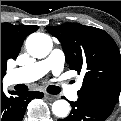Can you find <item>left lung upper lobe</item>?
Returning a JSON list of instances; mask_svg holds the SVG:
<instances>
[{
	"label": "left lung upper lobe",
	"mask_w": 121,
	"mask_h": 121,
	"mask_svg": "<svg viewBox=\"0 0 121 121\" xmlns=\"http://www.w3.org/2000/svg\"><path fill=\"white\" fill-rule=\"evenodd\" d=\"M46 28L62 43L70 68L85 72L79 99L110 115L121 90V55L114 40L101 29L77 23Z\"/></svg>",
	"instance_id": "left-lung-upper-lobe-1"
}]
</instances>
